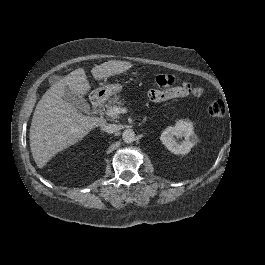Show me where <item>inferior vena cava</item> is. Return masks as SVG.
I'll return each instance as SVG.
<instances>
[{
	"mask_svg": "<svg viewBox=\"0 0 265 265\" xmlns=\"http://www.w3.org/2000/svg\"><path fill=\"white\" fill-rule=\"evenodd\" d=\"M101 130L107 133H115L119 130V126L116 124H102Z\"/></svg>",
	"mask_w": 265,
	"mask_h": 265,
	"instance_id": "obj_1",
	"label": "inferior vena cava"
}]
</instances>
